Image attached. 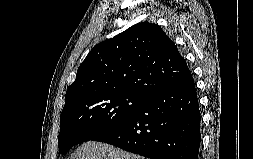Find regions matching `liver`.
<instances>
[{
  "instance_id": "obj_1",
  "label": "liver",
  "mask_w": 253,
  "mask_h": 159,
  "mask_svg": "<svg viewBox=\"0 0 253 159\" xmlns=\"http://www.w3.org/2000/svg\"><path fill=\"white\" fill-rule=\"evenodd\" d=\"M69 159H147L115 146L88 141L78 147Z\"/></svg>"
}]
</instances>
